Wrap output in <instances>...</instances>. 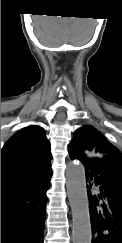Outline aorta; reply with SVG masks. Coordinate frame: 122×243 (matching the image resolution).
<instances>
[{
	"instance_id": "aorta-1",
	"label": "aorta",
	"mask_w": 122,
	"mask_h": 243,
	"mask_svg": "<svg viewBox=\"0 0 122 243\" xmlns=\"http://www.w3.org/2000/svg\"><path fill=\"white\" fill-rule=\"evenodd\" d=\"M66 188L73 217V243H91L92 232L85 169L82 164L76 162L68 164L66 169Z\"/></svg>"
}]
</instances>
